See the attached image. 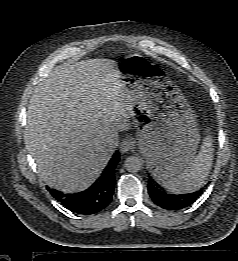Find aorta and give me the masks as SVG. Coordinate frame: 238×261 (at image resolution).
Instances as JSON below:
<instances>
[{"mask_svg": "<svg viewBox=\"0 0 238 261\" xmlns=\"http://www.w3.org/2000/svg\"><path fill=\"white\" fill-rule=\"evenodd\" d=\"M143 162L136 156H129L124 161V166L127 171L136 173L141 170Z\"/></svg>", "mask_w": 238, "mask_h": 261, "instance_id": "762f6f07", "label": "aorta"}]
</instances>
